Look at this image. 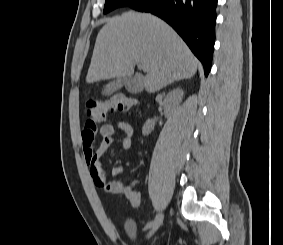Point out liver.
I'll list each match as a JSON object with an SVG mask.
<instances>
[{"label": "liver", "mask_w": 283, "mask_h": 245, "mask_svg": "<svg viewBox=\"0 0 283 245\" xmlns=\"http://www.w3.org/2000/svg\"><path fill=\"white\" fill-rule=\"evenodd\" d=\"M136 63L146 66L142 85L149 93L193 77L198 66L184 41L164 21L129 11L107 19L99 31L86 82L131 76Z\"/></svg>", "instance_id": "1"}]
</instances>
